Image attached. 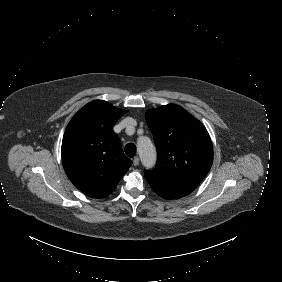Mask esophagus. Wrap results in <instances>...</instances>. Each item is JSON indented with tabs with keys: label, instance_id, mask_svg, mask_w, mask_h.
<instances>
[{
	"label": "esophagus",
	"instance_id": "obj_1",
	"mask_svg": "<svg viewBox=\"0 0 282 282\" xmlns=\"http://www.w3.org/2000/svg\"><path fill=\"white\" fill-rule=\"evenodd\" d=\"M138 164H139V157L135 156L134 159H133V165L137 166Z\"/></svg>",
	"mask_w": 282,
	"mask_h": 282
}]
</instances>
